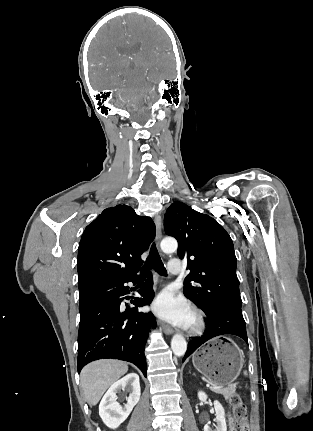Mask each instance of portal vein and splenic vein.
Listing matches in <instances>:
<instances>
[{
  "label": "portal vein and splenic vein",
  "instance_id": "portal-vein-and-splenic-vein-1",
  "mask_svg": "<svg viewBox=\"0 0 313 431\" xmlns=\"http://www.w3.org/2000/svg\"><path fill=\"white\" fill-rule=\"evenodd\" d=\"M209 388H211V389H214V388H217V387H213V386H210V385H207Z\"/></svg>",
  "mask_w": 313,
  "mask_h": 431
}]
</instances>
